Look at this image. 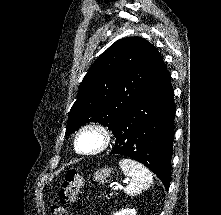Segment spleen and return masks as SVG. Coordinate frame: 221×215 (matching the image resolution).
Returning <instances> with one entry per match:
<instances>
[{
    "mask_svg": "<svg viewBox=\"0 0 221 215\" xmlns=\"http://www.w3.org/2000/svg\"><path fill=\"white\" fill-rule=\"evenodd\" d=\"M119 166L124 174L130 178V183L125 188V193L130 196L140 194L145 189L149 188L153 182V177L150 171L142 164L123 158L119 161Z\"/></svg>",
    "mask_w": 221,
    "mask_h": 215,
    "instance_id": "1",
    "label": "spleen"
}]
</instances>
